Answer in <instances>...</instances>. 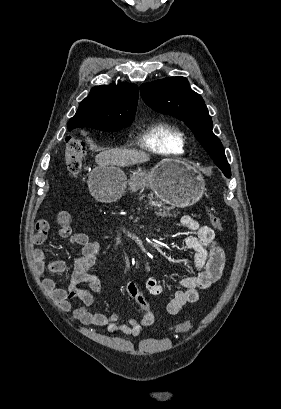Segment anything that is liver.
Listing matches in <instances>:
<instances>
[{
    "instance_id": "liver-1",
    "label": "liver",
    "mask_w": 281,
    "mask_h": 409,
    "mask_svg": "<svg viewBox=\"0 0 281 409\" xmlns=\"http://www.w3.org/2000/svg\"><path fill=\"white\" fill-rule=\"evenodd\" d=\"M150 160V154L143 150H129V148H112V150H104L95 156V162L104 166V164H116V166H130V164H138V162H146Z\"/></svg>"
}]
</instances>
